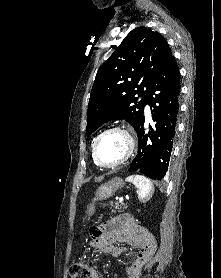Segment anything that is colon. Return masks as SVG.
I'll return each instance as SVG.
<instances>
[{"label":"colon","instance_id":"obj_1","mask_svg":"<svg viewBox=\"0 0 221 278\" xmlns=\"http://www.w3.org/2000/svg\"><path fill=\"white\" fill-rule=\"evenodd\" d=\"M91 268L84 260H76L69 270L70 278H90Z\"/></svg>","mask_w":221,"mask_h":278}]
</instances>
